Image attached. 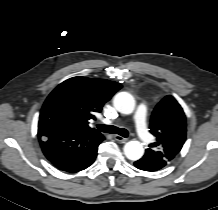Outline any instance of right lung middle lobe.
<instances>
[{
    "mask_svg": "<svg viewBox=\"0 0 218 210\" xmlns=\"http://www.w3.org/2000/svg\"><path fill=\"white\" fill-rule=\"evenodd\" d=\"M38 127L68 129V117L66 113L56 105L44 103L40 113Z\"/></svg>",
    "mask_w": 218,
    "mask_h": 210,
    "instance_id": "right-lung-middle-lobe-1",
    "label": "right lung middle lobe"
}]
</instances>
